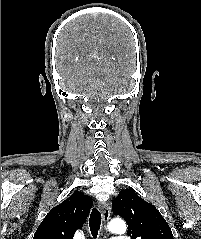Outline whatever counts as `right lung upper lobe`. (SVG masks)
I'll list each match as a JSON object with an SVG mask.
<instances>
[{
    "label": "right lung upper lobe",
    "instance_id": "right-lung-upper-lobe-1",
    "mask_svg": "<svg viewBox=\"0 0 201 239\" xmlns=\"http://www.w3.org/2000/svg\"><path fill=\"white\" fill-rule=\"evenodd\" d=\"M92 198L80 192L73 193L52 208L43 219L33 239H72L85 222L92 207Z\"/></svg>",
    "mask_w": 201,
    "mask_h": 239
}]
</instances>
